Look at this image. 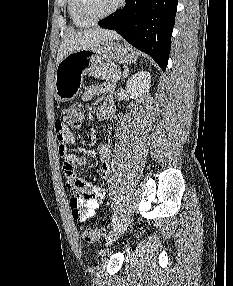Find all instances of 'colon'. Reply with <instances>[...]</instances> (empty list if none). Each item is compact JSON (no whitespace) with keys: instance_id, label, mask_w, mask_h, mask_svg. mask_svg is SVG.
Instances as JSON below:
<instances>
[{"instance_id":"1","label":"colon","mask_w":233,"mask_h":286,"mask_svg":"<svg viewBox=\"0 0 233 286\" xmlns=\"http://www.w3.org/2000/svg\"><path fill=\"white\" fill-rule=\"evenodd\" d=\"M84 116V109L80 104H72L62 111L63 120L73 128H80ZM72 204L78 205V198L73 196ZM104 229L101 227H82V237L88 243L98 241L104 235Z\"/></svg>"}]
</instances>
